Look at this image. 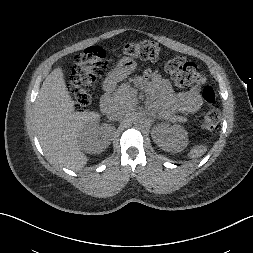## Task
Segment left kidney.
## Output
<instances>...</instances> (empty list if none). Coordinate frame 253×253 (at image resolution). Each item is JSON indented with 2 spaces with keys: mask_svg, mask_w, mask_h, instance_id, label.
<instances>
[{
  "mask_svg": "<svg viewBox=\"0 0 253 253\" xmlns=\"http://www.w3.org/2000/svg\"><path fill=\"white\" fill-rule=\"evenodd\" d=\"M151 136L159 147L168 152H180L188 145V133L180 125L159 124Z\"/></svg>",
  "mask_w": 253,
  "mask_h": 253,
  "instance_id": "5707ae66",
  "label": "left kidney"
}]
</instances>
